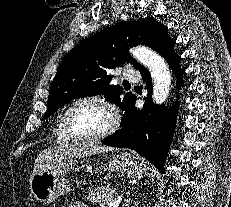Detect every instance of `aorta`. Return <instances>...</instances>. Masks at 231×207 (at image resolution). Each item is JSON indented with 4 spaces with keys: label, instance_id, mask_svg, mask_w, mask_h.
I'll use <instances>...</instances> for the list:
<instances>
[{
    "label": "aorta",
    "instance_id": "aorta-1",
    "mask_svg": "<svg viewBox=\"0 0 231 207\" xmlns=\"http://www.w3.org/2000/svg\"><path fill=\"white\" fill-rule=\"evenodd\" d=\"M130 53L140 64L150 70L153 80V102L158 105L163 104L168 98L171 87V73L165 59L144 46L134 47Z\"/></svg>",
    "mask_w": 231,
    "mask_h": 207
}]
</instances>
